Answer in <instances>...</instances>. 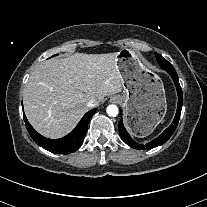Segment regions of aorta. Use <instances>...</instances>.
I'll list each match as a JSON object with an SVG mask.
<instances>
[{
    "label": "aorta",
    "instance_id": "762f6f07",
    "mask_svg": "<svg viewBox=\"0 0 207 207\" xmlns=\"http://www.w3.org/2000/svg\"><path fill=\"white\" fill-rule=\"evenodd\" d=\"M107 114L109 116L115 117L118 114V107L116 105H109L107 107Z\"/></svg>",
    "mask_w": 207,
    "mask_h": 207
}]
</instances>
